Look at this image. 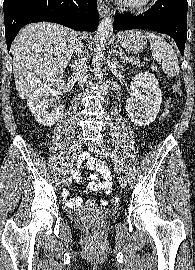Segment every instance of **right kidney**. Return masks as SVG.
<instances>
[{"label": "right kidney", "mask_w": 195, "mask_h": 270, "mask_svg": "<svg viewBox=\"0 0 195 270\" xmlns=\"http://www.w3.org/2000/svg\"><path fill=\"white\" fill-rule=\"evenodd\" d=\"M64 89V81L54 79L39 87L28 99L29 107L35 120L44 126H52L63 115L64 106H59L49 111V99L51 96H58Z\"/></svg>", "instance_id": "obj_1"}]
</instances>
